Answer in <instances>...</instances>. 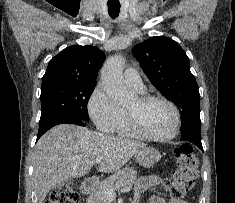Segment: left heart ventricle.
<instances>
[{
    "mask_svg": "<svg viewBox=\"0 0 235 203\" xmlns=\"http://www.w3.org/2000/svg\"><path fill=\"white\" fill-rule=\"evenodd\" d=\"M126 109L136 115L142 128L149 134L164 136L173 130L174 113L164 102L154 101L142 104L135 98L126 106Z\"/></svg>",
    "mask_w": 235,
    "mask_h": 203,
    "instance_id": "b2bd125f",
    "label": "left heart ventricle"
}]
</instances>
